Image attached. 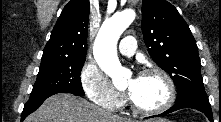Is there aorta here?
Wrapping results in <instances>:
<instances>
[{
	"label": "aorta",
	"mask_w": 221,
	"mask_h": 122,
	"mask_svg": "<svg viewBox=\"0 0 221 122\" xmlns=\"http://www.w3.org/2000/svg\"><path fill=\"white\" fill-rule=\"evenodd\" d=\"M135 19V12L124 10L106 20L95 39L93 52L99 67L111 77L113 84L118 87L127 83L128 72L122 67L116 51L120 35Z\"/></svg>",
	"instance_id": "obj_1"
}]
</instances>
